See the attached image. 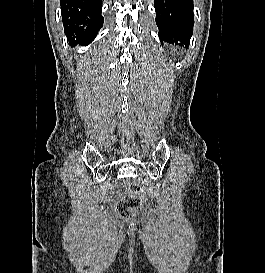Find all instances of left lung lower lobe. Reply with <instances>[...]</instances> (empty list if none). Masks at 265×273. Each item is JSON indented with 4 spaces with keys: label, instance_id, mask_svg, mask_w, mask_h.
<instances>
[{
    "label": "left lung lower lobe",
    "instance_id": "obj_1",
    "mask_svg": "<svg viewBox=\"0 0 265 273\" xmlns=\"http://www.w3.org/2000/svg\"><path fill=\"white\" fill-rule=\"evenodd\" d=\"M154 6L160 41L189 47L194 24L192 0H154Z\"/></svg>",
    "mask_w": 265,
    "mask_h": 273
}]
</instances>
